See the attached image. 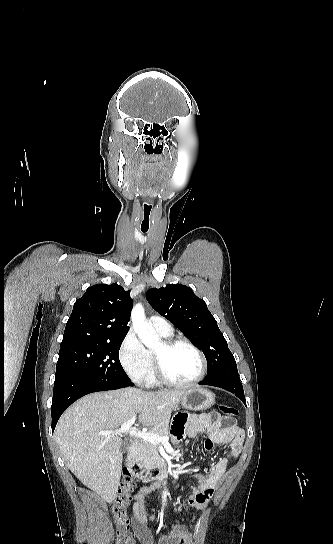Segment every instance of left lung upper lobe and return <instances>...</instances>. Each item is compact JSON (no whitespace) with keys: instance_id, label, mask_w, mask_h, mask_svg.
Returning a JSON list of instances; mask_svg holds the SVG:
<instances>
[{"instance_id":"obj_1","label":"left lung upper lobe","mask_w":333,"mask_h":544,"mask_svg":"<svg viewBox=\"0 0 333 544\" xmlns=\"http://www.w3.org/2000/svg\"><path fill=\"white\" fill-rule=\"evenodd\" d=\"M150 305L191 338L203 351L208 372L204 380L239 378L236 361L204 300L190 287L169 284L146 293Z\"/></svg>"}]
</instances>
